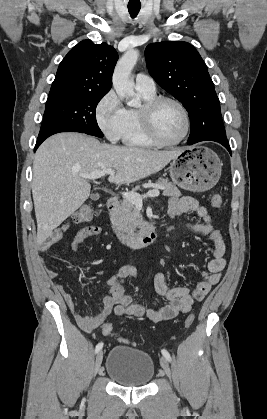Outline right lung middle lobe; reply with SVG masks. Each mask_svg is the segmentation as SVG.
Instances as JSON below:
<instances>
[{
    "instance_id": "obj_1",
    "label": "right lung middle lobe",
    "mask_w": 267,
    "mask_h": 419,
    "mask_svg": "<svg viewBox=\"0 0 267 419\" xmlns=\"http://www.w3.org/2000/svg\"><path fill=\"white\" fill-rule=\"evenodd\" d=\"M106 93H50L46 102L44 122L67 127L75 132L103 137L97 121L96 107Z\"/></svg>"
}]
</instances>
